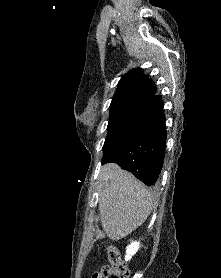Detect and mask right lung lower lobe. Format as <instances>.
<instances>
[{"instance_id":"98d812e1","label":"right lung lower lobe","mask_w":221,"mask_h":278,"mask_svg":"<svg viewBox=\"0 0 221 278\" xmlns=\"http://www.w3.org/2000/svg\"><path fill=\"white\" fill-rule=\"evenodd\" d=\"M153 114L126 140L102 158V164L115 162L147 186L154 185L163 166L166 126L161 95L148 102Z\"/></svg>"}]
</instances>
